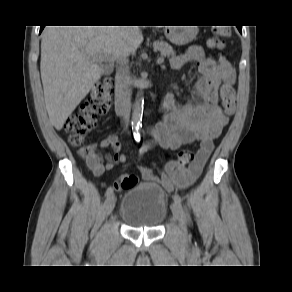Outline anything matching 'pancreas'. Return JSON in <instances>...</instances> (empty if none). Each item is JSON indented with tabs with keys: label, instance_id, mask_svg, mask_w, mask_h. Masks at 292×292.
<instances>
[{
	"label": "pancreas",
	"instance_id": "cf45deb5",
	"mask_svg": "<svg viewBox=\"0 0 292 292\" xmlns=\"http://www.w3.org/2000/svg\"><path fill=\"white\" fill-rule=\"evenodd\" d=\"M153 47L155 51H160L163 57H175V52L171 45L164 41H156L153 43Z\"/></svg>",
	"mask_w": 292,
	"mask_h": 292
}]
</instances>
